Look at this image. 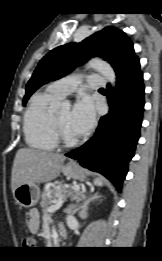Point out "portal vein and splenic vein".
Listing matches in <instances>:
<instances>
[{"label":"portal vein and splenic vein","instance_id":"18ae733b","mask_svg":"<svg viewBox=\"0 0 162 261\" xmlns=\"http://www.w3.org/2000/svg\"><path fill=\"white\" fill-rule=\"evenodd\" d=\"M71 188L73 190L78 191L80 189V186L79 185H73V186H71ZM63 202H64L63 197H62L61 194H59V199L55 202L54 205L48 207L47 211L50 212V213L55 212L56 210H58L62 206Z\"/></svg>","mask_w":162,"mask_h":261}]
</instances>
